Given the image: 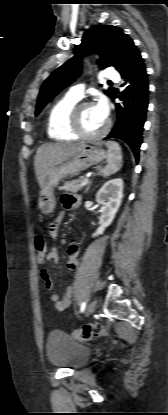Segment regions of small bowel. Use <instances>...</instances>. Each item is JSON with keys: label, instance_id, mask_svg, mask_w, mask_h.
Listing matches in <instances>:
<instances>
[{"label": "small bowel", "instance_id": "obj_1", "mask_svg": "<svg viewBox=\"0 0 168 415\" xmlns=\"http://www.w3.org/2000/svg\"><path fill=\"white\" fill-rule=\"evenodd\" d=\"M61 203L66 210H71V209L78 207L80 203V199L78 196L73 195V194H64L61 197ZM63 216H64V212H61L58 215V217L51 223L49 230H50V235L52 237H55L59 224L63 219ZM79 253H80L79 243L76 241L72 242L67 249V255H68L67 267L69 269L71 270L77 269L79 265V261H78ZM58 260H59L58 250L56 247L53 246L47 251V262L46 263L47 265H50L53 263H57ZM40 276L43 279L45 288L48 290H51L54 286V283L48 273V270L40 271ZM72 297H73V288L71 286L66 288L62 297H60L56 293H53L50 296L52 302L55 305V308L58 311H64L67 308H69V306L72 303Z\"/></svg>", "mask_w": 168, "mask_h": 415}]
</instances>
